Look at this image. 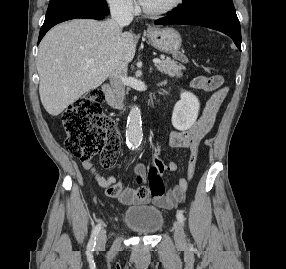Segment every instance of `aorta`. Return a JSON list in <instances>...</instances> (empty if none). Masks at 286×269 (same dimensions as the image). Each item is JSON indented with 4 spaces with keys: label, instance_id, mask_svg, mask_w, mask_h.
<instances>
[{
    "label": "aorta",
    "instance_id": "1",
    "mask_svg": "<svg viewBox=\"0 0 286 269\" xmlns=\"http://www.w3.org/2000/svg\"><path fill=\"white\" fill-rule=\"evenodd\" d=\"M143 139L141 112L137 106L131 108L127 120L126 141L130 149H137Z\"/></svg>",
    "mask_w": 286,
    "mask_h": 269
}]
</instances>
